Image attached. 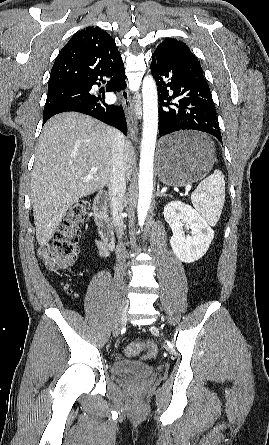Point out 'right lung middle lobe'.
I'll list each match as a JSON object with an SVG mask.
<instances>
[{
	"instance_id": "dd1d6c3e",
	"label": "right lung middle lobe",
	"mask_w": 269,
	"mask_h": 445,
	"mask_svg": "<svg viewBox=\"0 0 269 445\" xmlns=\"http://www.w3.org/2000/svg\"><path fill=\"white\" fill-rule=\"evenodd\" d=\"M87 89L85 84L64 85L48 88L47 100L43 111V117L50 114L57 106L70 101L82 94Z\"/></svg>"
}]
</instances>
